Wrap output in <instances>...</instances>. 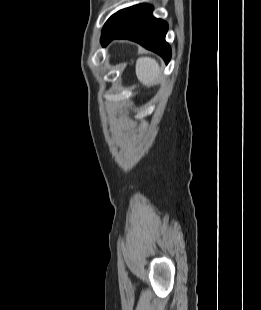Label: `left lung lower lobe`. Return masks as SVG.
I'll return each instance as SVG.
<instances>
[{
    "mask_svg": "<svg viewBox=\"0 0 261 310\" xmlns=\"http://www.w3.org/2000/svg\"><path fill=\"white\" fill-rule=\"evenodd\" d=\"M153 7L139 4L118 11L104 25L101 41L105 46L114 38L130 39L159 54L166 63L171 59L170 46L165 41L168 25L152 16Z\"/></svg>",
    "mask_w": 261,
    "mask_h": 310,
    "instance_id": "0a47b994",
    "label": "left lung lower lobe"
}]
</instances>
